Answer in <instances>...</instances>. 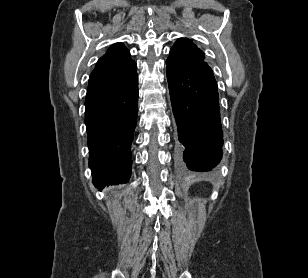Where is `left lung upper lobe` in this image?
Returning <instances> with one entry per match:
<instances>
[{
  "label": "left lung upper lobe",
  "instance_id": "left-lung-upper-lobe-1",
  "mask_svg": "<svg viewBox=\"0 0 308 278\" xmlns=\"http://www.w3.org/2000/svg\"><path fill=\"white\" fill-rule=\"evenodd\" d=\"M205 55L190 39L180 38L170 50L167 65L187 67L204 61Z\"/></svg>",
  "mask_w": 308,
  "mask_h": 278
}]
</instances>
